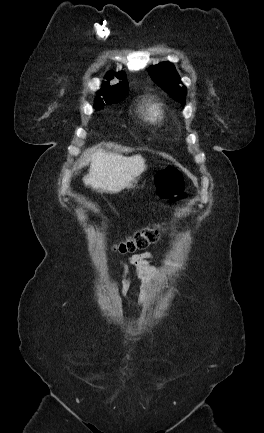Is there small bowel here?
Returning <instances> with one entry per match:
<instances>
[{
	"instance_id": "obj_1",
	"label": "small bowel",
	"mask_w": 264,
	"mask_h": 433,
	"mask_svg": "<svg viewBox=\"0 0 264 433\" xmlns=\"http://www.w3.org/2000/svg\"><path fill=\"white\" fill-rule=\"evenodd\" d=\"M153 258V254L150 252H144L140 254H135L131 257H129L125 261H120V265L122 267L123 273L126 275V277L123 280V288H122V295H125L127 293L128 287H129V281H128V267L129 265L133 266L135 268L136 275L139 279L143 281V286L141 290V296L139 300V305L141 306L145 300L146 295V283L150 279L152 275H156V273L153 271V269L148 265L147 260Z\"/></svg>"
}]
</instances>
